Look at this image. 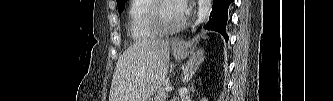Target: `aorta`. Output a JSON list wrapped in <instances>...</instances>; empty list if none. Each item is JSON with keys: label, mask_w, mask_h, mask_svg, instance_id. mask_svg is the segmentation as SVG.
I'll return each mask as SVG.
<instances>
[{"label": "aorta", "mask_w": 333, "mask_h": 101, "mask_svg": "<svg viewBox=\"0 0 333 101\" xmlns=\"http://www.w3.org/2000/svg\"><path fill=\"white\" fill-rule=\"evenodd\" d=\"M212 0H198L197 23L198 25L204 23L211 11Z\"/></svg>", "instance_id": "obj_1"}]
</instances>
